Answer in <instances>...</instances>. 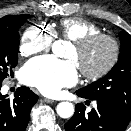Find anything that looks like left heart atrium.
Listing matches in <instances>:
<instances>
[{"mask_svg":"<svg viewBox=\"0 0 131 131\" xmlns=\"http://www.w3.org/2000/svg\"><path fill=\"white\" fill-rule=\"evenodd\" d=\"M22 79L48 96L56 95L63 87L78 80L75 61H62L44 56L29 61L22 71Z\"/></svg>","mask_w":131,"mask_h":131,"instance_id":"39dd6f15","label":"left heart atrium"}]
</instances>
